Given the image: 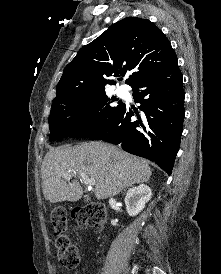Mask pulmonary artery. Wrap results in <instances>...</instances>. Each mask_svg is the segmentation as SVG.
<instances>
[{"instance_id": "e3ab8cb5", "label": "pulmonary artery", "mask_w": 221, "mask_h": 274, "mask_svg": "<svg viewBox=\"0 0 221 274\" xmlns=\"http://www.w3.org/2000/svg\"><path fill=\"white\" fill-rule=\"evenodd\" d=\"M117 94L119 96H125L126 95V90L122 87H119L117 90H116Z\"/></svg>"}]
</instances>
